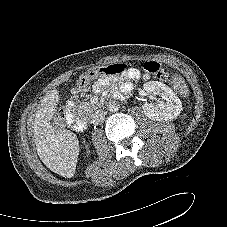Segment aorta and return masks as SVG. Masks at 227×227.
<instances>
[{"label":"aorta","instance_id":"aorta-1","mask_svg":"<svg viewBox=\"0 0 227 227\" xmlns=\"http://www.w3.org/2000/svg\"><path fill=\"white\" fill-rule=\"evenodd\" d=\"M107 109L110 111V112H117L119 110V104L117 101H110L108 104H107Z\"/></svg>","mask_w":227,"mask_h":227}]
</instances>
